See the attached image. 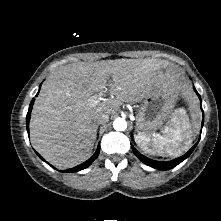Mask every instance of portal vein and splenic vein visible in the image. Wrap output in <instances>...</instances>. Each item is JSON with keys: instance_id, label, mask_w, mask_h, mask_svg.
<instances>
[{"instance_id": "18ae733b", "label": "portal vein and splenic vein", "mask_w": 221, "mask_h": 221, "mask_svg": "<svg viewBox=\"0 0 221 221\" xmlns=\"http://www.w3.org/2000/svg\"><path fill=\"white\" fill-rule=\"evenodd\" d=\"M99 100H102L101 96H99L98 100L96 102H98Z\"/></svg>"}]
</instances>
